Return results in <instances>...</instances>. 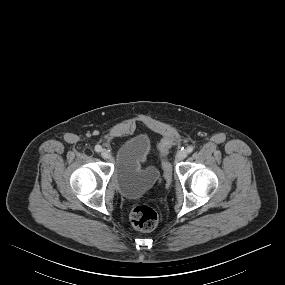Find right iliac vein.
<instances>
[{"instance_id": "right-iliac-vein-1", "label": "right iliac vein", "mask_w": 285, "mask_h": 285, "mask_svg": "<svg viewBox=\"0 0 285 285\" xmlns=\"http://www.w3.org/2000/svg\"><path fill=\"white\" fill-rule=\"evenodd\" d=\"M101 156H102L104 159H109L110 156H111V154H110V152H109L107 149H103V150L101 151Z\"/></svg>"}]
</instances>
